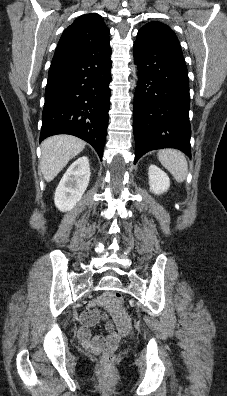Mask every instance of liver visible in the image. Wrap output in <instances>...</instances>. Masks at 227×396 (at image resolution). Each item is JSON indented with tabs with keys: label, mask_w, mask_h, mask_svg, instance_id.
Returning <instances> with one entry per match:
<instances>
[{
	"label": "liver",
	"mask_w": 227,
	"mask_h": 396,
	"mask_svg": "<svg viewBox=\"0 0 227 396\" xmlns=\"http://www.w3.org/2000/svg\"><path fill=\"white\" fill-rule=\"evenodd\" d=\"M85 144L83 140L70 135H56L44 140L40 161L44 179L52 181L72 158L82 152Z\"/></svg>",
	"instance_id": "liver-1"
}]
</instances>
